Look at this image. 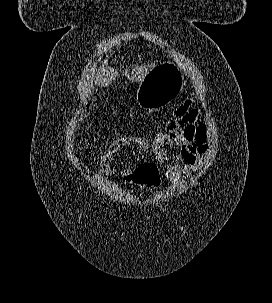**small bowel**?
<instances>
[{"instance_id": "obj_1", "label": "small bowel", "mask_w": 272, "mask_h": 303, "mask_svg": "<svg viewBox=\"0 0 272 303\" xmlns=\"http://www.w3.org/2000/svg\"><path fill=\"white\" fill-rule=\"evenodd\" d=\"M211 136L203 113L193 107L187 100L173 113L168 122L167 130L153 139L141 136H121L113 140L104 154L101 171L104 175H112L115 157L128 146L136 147L139 152H150L155 160L165 164L164 176L177 183L180 179L189 177L203 163L209 153ZM176 149L173 159L168 154V148ZM134 168L125 167L118 174L125 182H134Z\"/></svg>"}]
</instances>
